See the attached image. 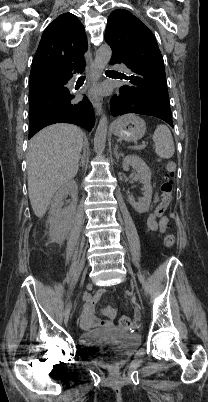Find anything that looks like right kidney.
Here are the masks:
<instances>
[{
    "label": "right kidney",
    "instance_id": "right-kidney-1",
    "mask_svg": "<svg viewBox=\"0 0 208 402\" xmlns=\"http://www.w3.org/2000/svg\"><path fill=\"white\" fill-rule=\"evenodd\" d=\"M78 186L74 180H69L64 186L59 188L55 194L48 218L49 234L53 242H63L70 232V220L76 214ZM71 196V202L67 208H62L64 198Z\"/></svg>",
    "mask_w": 208,
    "mask_h": 402
}]
</instances>
